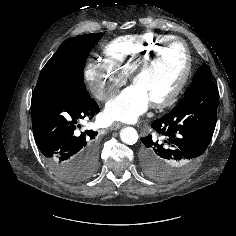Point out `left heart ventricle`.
<instances>
[{"mask_svg":"<svg viewBox=\"0 0 236 236\" xmlns=\"http://www.w3.org/2000/svg\"><path fill=\"white\" fill-rule=\"evenodd\" d=\"M184 68L183 47L175 44L166 49L147 71L139 75L134 84L145 92L150 102L160 100L175 87Z\"/></svg>","mask_w":236,"mask_h":236,"instance_id":"b2bd125f","label":"left heart ventricle"}]
</instances>
